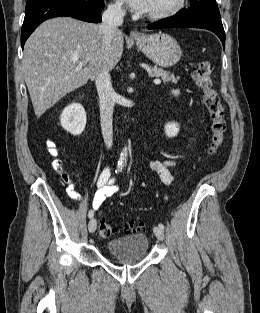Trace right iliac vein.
I'll return each instance as SVG.
<instances>
[{
    "label": "right iliac vein",
    "mask_w": 260,
    "mask_h": 313,
    "mask_svg": "<svg viewBox=\"0 0 260 313\" xmlns=\"http://www.w3.org/2000/svg\"><path fill=\"white\" fill-rule=\"evenodd\" d=\"M96 227H97V221H96V219L92 218L89 222V225H88L89 231L91 233L95 232Z\"/></svg>",
    "instance_id": "right-iliac-vein-1"
}]
</instances>
